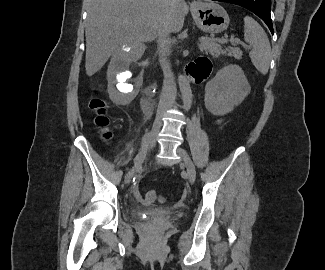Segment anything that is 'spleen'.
I'll return each instance as SVG.
<instances>
[{
	"mask_svg": "<svg viewBox=\"0 0 325 270\" xmlns=\"http://www.w3.org/2000/svg\"><path fill=\"white\" fill-rule=\"evenodd\" d=\"M244 39L252 48L249 56L255 68L263 75L268 73L271 46L261 25L252 17H244Z\"/></svg>",
	"mask_w": 325,
	"mask_h": 270,
	"instance_id": "3e777b00",
	"label": "spleen"
}]
</instances>
